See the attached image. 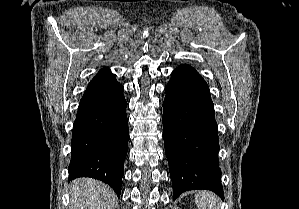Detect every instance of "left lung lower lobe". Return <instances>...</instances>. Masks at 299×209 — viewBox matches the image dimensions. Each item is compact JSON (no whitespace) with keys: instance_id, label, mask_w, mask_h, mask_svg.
Here are the masks:
<instances>
[{"instance_id":"0a47b994","label":"left lung lower lobe","mask_w":299,"mask_h":209,"mask_svg":"<svg viewBox=\"0 0 299 209\" xmlns=\"http://www.w3.org/2000/svg\"><path fill=\"white\" fill-rule=\"evenodd\" d=\"M163 131L173 199L207 189L224 198L214 105L205 80L191 66L176 68L165 88Z\"/></svg>"}]
</instances>
